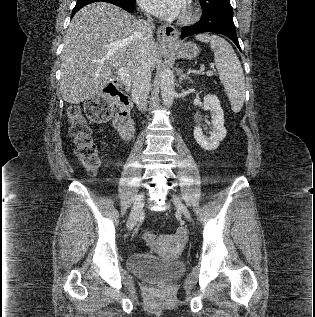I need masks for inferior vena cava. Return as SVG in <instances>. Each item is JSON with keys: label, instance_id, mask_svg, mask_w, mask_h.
<instances>
[{"label": "inferior vena cava", "instance_id": "obj_1", "mask_svg": "<svg viewBox=\"0 0 315 317\" xmlns=\"http://www.w3.org/2000/svg\"><path fill=\"white\" fill-rule=\"evenodd\" d=\"M141 29L143 41L140 47V55L143 60L139 71L132 79V99L139 110H144L151 89V68L145 62L147 45L153 39L152 31L154 29L153 19L149 15H147V21H141Z\"/></svg>", "mask_w": 315, "mask_h": 317}]
</instances>
